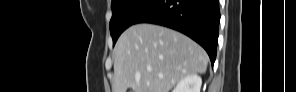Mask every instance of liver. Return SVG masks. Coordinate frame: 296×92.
<instances>
[{
  "label": "liver",
  "mask_w": 296,
  "mask_h": 92,
  "mask_svg": "<svg viewBox=\"0 0 296 92\" xmlns=\"http://www.w3.org/2000/svg\"><path fill=\"white\" fill-rule=\"evenodd\" d=\"M114 54L113 92H169L184 77L205 73L209 60L189 37L146 23L125 30Z\"/></svg>",
  "instance_id": "6515ba94"
}]
</instances>
